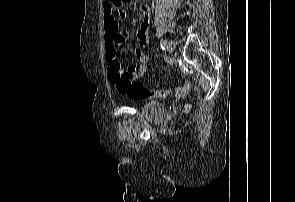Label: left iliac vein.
Masks as SVG:
<instances>
[{
	"mask_svg": "<svg viewBox=\"0 0 295 202\" xmlns=\"http://www.w3.org/2000/svg\"><path fill=\"white\" fill-rule=\"evenodd\" d=\"M174 48H175V42L173 40H169L167 43H166V49L172 53L174 51Z\"/></svg>",
	"mask_w": 295,
	"mask_h": 202,
	"instance_id": "1",
	"label": "left iliac vein"
}]
</instances>
